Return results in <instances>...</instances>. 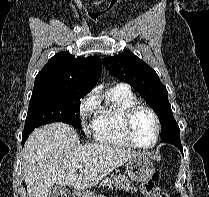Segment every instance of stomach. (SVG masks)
Wrapping results in <instances>:
<instances>
[{"mask_svg":"<svg viewBox=\"0 0 209 197\" xmlns=\"http://www.w3.org/2000/svg\"><path fill=\"white\" fill-rule=\"evenodd\" d=\"M155 169L153 163L145 154H139L131 158L126 164L127 175L136 182L148 181ZM79 197H104L90 192H82Z\"/></svg>","mask_w":209,"mask_h":197,"instance_id":"0dacf381","label":"stomach"}]
</instances>
